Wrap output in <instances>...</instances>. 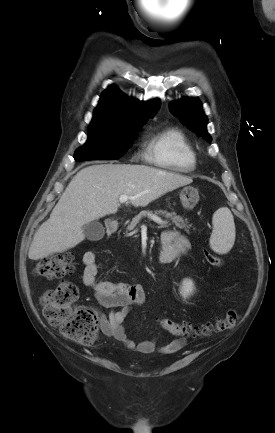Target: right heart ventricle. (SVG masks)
Segmentation results:
<instances>
[{
	"instance_id": "1",
	"label": "right heart ventricle",
	"mask_w": 275,
	"mask_h": 433,
	"mask_svg": "<svg viewBox=\"0 0 275 433\" xmlns=\"http://www.w3.org/2000/svg\"><path fill=\"white\" fill-rule=\"evenodd\" d=\"M146 157L157 166L179 172L195 169L196 153L186 135L178 128H167L149 141Z\"/></svg>"
}]
</instances>
